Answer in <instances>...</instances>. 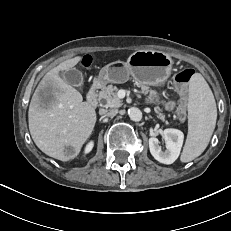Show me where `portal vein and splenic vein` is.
Returning <instances> with one entry per match:
<instances>
[{
	"label": "portal vein and splenic vein",
	"instance_id": "1",
	"mask_svg": "<svg viewBox=\"0 0 231 231\" xmlns=\"http://www.w3.org/2000/svg\"><path fill=\"white\" fill-rule=\"evenodd\" d=\"M118 96H119L120 98H123V97L125 96V90H119V91H118Z\"/></svg>",
	"mask_w": 231,
	"mask_h": 231
}]
</instances>
